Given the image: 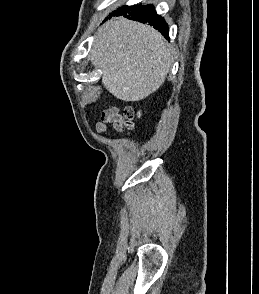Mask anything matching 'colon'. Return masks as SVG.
I'll use <instances>...</instances> for the list:
<instances>
[{
	"label": "colon",
	"instance_id": "1",
	"mask_svg": "<svg viewBox=\"0 0 259 294\" xmlns=\"http://www.w3.org/2000/svg\"><path fill=\"white\" fill-rule=\"evenodd\" d=\"M127 128L131 129L134 127L135 121L139 118L140 114L133 107H127L124 111Z\"/></svg>",
	"mask_w": 259,
	"mask_h": 294
}]
</instances>
